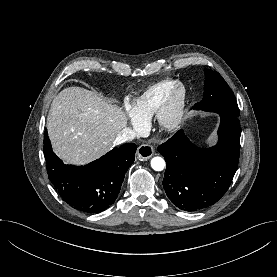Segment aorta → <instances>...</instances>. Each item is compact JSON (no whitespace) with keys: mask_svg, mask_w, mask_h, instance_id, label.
<instances>
[{"mask_svg":"<svg viewBox=\"0 0 277 277\" xmlns=\"http://www.w3.org/2000/svg\"><path fill=\"white\" fill-rule=\"evenodd\" d=\"M151 166L155 171H162L165 167V161L161 157H154L151 160Z\"/></svg>","mask_w":277,"mask_h":277,"instance_id":"aorta-1","label":"aorta"}]
</instances>
